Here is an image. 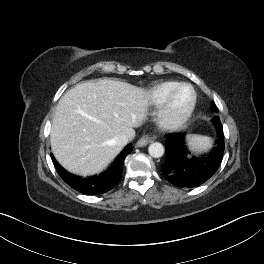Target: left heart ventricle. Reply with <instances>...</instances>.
<instances>
[{
  "mask_svg": "<svg viewBox=\"0 0 264 264\" xmlns=\"http://www.w3.org/2000/svg\"><path fill=\"white\" fill-rule=\"evenodd\" d=\"M191 99V91L188 88H183L179 91L175 98V107L178 112L182 111Z\"/></svg>",
  "mask_w": 264,
  "mask_h": 264,
  "instance_id": "obj_1",
  "label": "left heart ventricle"
}]
</instances>
